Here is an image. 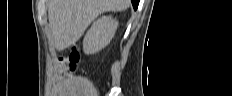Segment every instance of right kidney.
<instances>
[{
    "label": "right kidney",
    "instance_id": "ca27d5eb",
    "mask_svg": "<svg viewBox=\"0 0 232 96\" xmlns=\"http://www.w3.org/2000/svg\"><path fill=\"white\" fill-rule=\"evenodd\" d=\"M118 22L111 16H102L93 22L85 35L83 50L86 54H94L109 44L114 37Z\"/></svg>",
    "mask_w": 232,
    "mask_h": 96
}]
</instances>
